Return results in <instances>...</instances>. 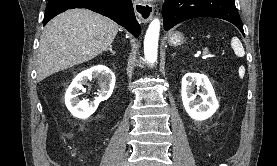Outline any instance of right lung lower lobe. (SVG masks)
I'll return each instance as SVG.
<instances>
[{
  "label": "right lung lower lobe",
  "instance_id": "1",
  "mask_svg": "<svg viewBox=\"0 0 277 166\" xmlns=\"http://www.w3.org/2000/svg\"><path fill=\"white\" fill-rule=\"evenodd\" d=\"M87 8L114 20L136 37L140 35L131 0H49L44 15V25L54 16L73 8Z\"/></svg>",
  "mask_w": 277,
  "mask_h": 166
}]
</instances>
